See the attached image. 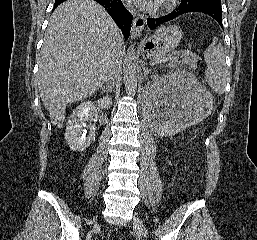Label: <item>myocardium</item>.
<instances>
[{"mask_svg":"<svg viewBox=\"0 0 257 240\" xmlns=\"http://www.w3.org/2000/svg\"><path fill=\"white\" fill-rule=\"evenodd\" d=\"M175 0H163V5L165 8H169L174 4Z\"/></svg>","mask_w":257,"mask_h":240,"instance_id":"f54148a6","label":"myocardium"}]
</instances>
